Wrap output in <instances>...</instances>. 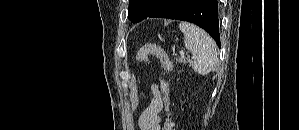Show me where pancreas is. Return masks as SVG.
Returning a JSON list of instances; mask_svg holds the SVG:
<instances>
[{"label":"pancreas","instance_id":"obj_1","mask_svg":"<svg viewBox=\"0 0 299 130\" xmlns=\"http://www.w3.org/2000/svg\"><path fill=\"white\" fill-rule=\"evenodd\" d=\"M177 62H179V63H186V62L191 63V59L189 57L186 58V57L181 56V57L177 58Z\"/></svg>","mask_w":299,"mask_h":130}]
</instances>
